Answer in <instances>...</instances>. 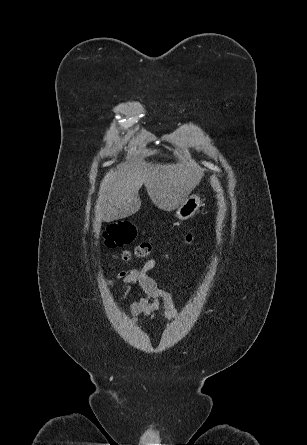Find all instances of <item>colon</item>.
Segmentation results:
<instances>
[{"instance_id":"obj_1","label":"colon","mask_w":307,"mask_h":445,"mask_svg":"<svg viewBox=\"0 0 307 445\" xmlns=\"http://www.w3.org/2000/svg\"><path fill=\"white\" fill-rule=\"evenodd\" d=\"M105 244L108 247H121L131 243L136 236L135 225L127 220H121L111 223L104 231ZM184 243L188 246H193L196 243V236L187 234L184 238ZM151 244L141 243L133 250H126L120 254V258L124 262H130L132 259H145L151 252Z\"/></svg>"}]
</instances>
